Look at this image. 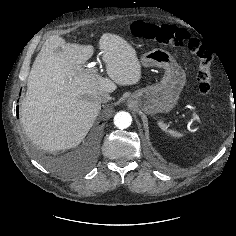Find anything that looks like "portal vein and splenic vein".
Masks as SVG:
<instances>
[{
    "mask_svg": "<svg viewBox=\"0 0 236 236\" xmlns=\"http://www.w3.org/2000/svg\"><path fill=\"white\" fill-rule=\"evenodd\" d=\"M94 66H95V63H90L87 67L91 68L90 71L95 73L97 70ZM193 118H194V120H197L198 122H200V118L195 112H193Z\"/></svg>",
    "mask_w": 236,
    "mask_h": 236,
    "instance_id": "18ae733b",
    "label": "portal vein and splenic vein"
}]
</instances>
